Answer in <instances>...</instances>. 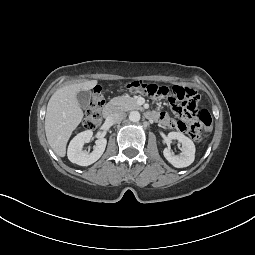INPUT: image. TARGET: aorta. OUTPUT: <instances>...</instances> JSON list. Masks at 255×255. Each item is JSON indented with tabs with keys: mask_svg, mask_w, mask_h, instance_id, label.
Wrapping results in <instances>:
<instances>
[{
	"mask_svg": "<svg viewBox=\"0 0 255 255\" xmlns=\"http://www.w3.org/2000/svg\"><path fill=\"white\" fill-rule=\"evenodd\" d=\"M129 119L132 122H138L140 120V113L138 111H131L129 114Z\"/></svg>",
	"mask_w": 255,
	"mask_h": 255,
	"instance_id": "aorta-1",
	"label": "aorta"
}]
</instances>
